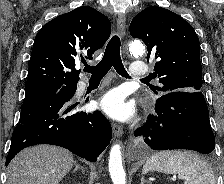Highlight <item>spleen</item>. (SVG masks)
<instances>
[{"instance_id":"spleen-1","label":"spleen","mask_w":224,"mask_h":184,"mask_svg":"<svg viewBox=\"0 0 224 184\" xmlns=\"http://www.w3.org/2000/svg\"><path fill=\"white\" fill-rule=\"evenodd\" d=\"M149 171L185 175L184 184H215L211 167L197 154L190 151H162L152 155L143 166Z\"/></svg>"}]
</instances>
